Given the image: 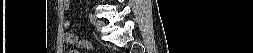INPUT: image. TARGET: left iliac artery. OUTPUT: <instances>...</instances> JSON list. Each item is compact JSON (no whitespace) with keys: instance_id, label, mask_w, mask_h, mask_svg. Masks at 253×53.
Listing matches in <instances>:
<instances>
[{"instance_id":"44dca946","label":"left iliac artery","mask_w":253,"mask_h":53,"mask_svg":"<svg viewBox=\"0 0 253 53\" xmlns=\"http://www.w3.org/2000/svg\"><path fill=\"white\" fill-rule=\"evenodd\" d=\"M89 20H90L91 23H93V24L95 23L96 18H95V15L93 13L89 14Z\"/></svg>"}]
</instances>
